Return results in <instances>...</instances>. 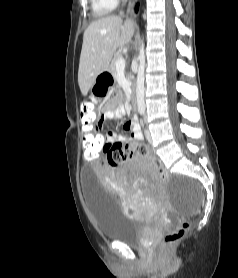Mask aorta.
Wrapping results in <instances>:
<instances>
[{
  "label": "aorta",
  "mask_w": 238,
  "mask_h": 278,
  "mask_svg": "<svg viewBox=\"0 0 238 278\" xmlns=\"http://www.w3.org/2000/svg\"><path fill=\"white\" fill-rule=\"evenodd\" d=\"M145 50L144 42H141L140 52H139V67L137 71V87H136V97H137V107L139 113L143 114L145 112Z\"/></svg>",
  "instance_id": "obj_1"
}]
</instances>
